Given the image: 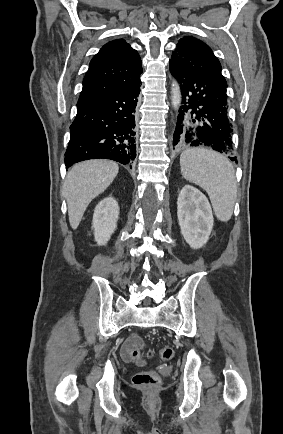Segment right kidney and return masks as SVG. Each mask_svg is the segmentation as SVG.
<instances>
[{"mask_svg":"<svg viewBox=\"0 0 283 434\" xmlns=\"http://www.w3.org/2000/svg\"><path fill=\"white\" fill-rule=\"evenodd\" d=\"M119 206L113 197L101 200L93 214L92 228L98 245H106L117 227Z\"/></svg>","mask_w":283,"mask_h":434,"instance_id":"ca27d5eb","label":"right kidney"}]
</instances>
